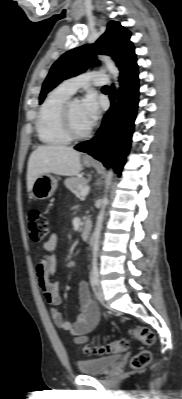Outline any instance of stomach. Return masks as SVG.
Returning <instances> with one entry per match:
<instances>
[{
	"instance_id": "1",
	"label": "stomach",
	"mask_w": 182,
	"mask_h": 399,
	"mask_svg": "<svg viewBox=\"0 0 182 399\" xmlns=\"http://www.w3.org/2000/svg\"><path fill=\"white\" fill-rule=\"evenodd\" d=\"M84 164L87 167H90L93 165V162L85 161ZM57 186H58V181L55 177H53L50 174H44L39 176L35 180L30 194L32 197L39 200L48 199L54 194L55 190L57 189Z\"/></svg>"
}]
</instances>
